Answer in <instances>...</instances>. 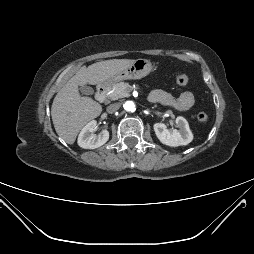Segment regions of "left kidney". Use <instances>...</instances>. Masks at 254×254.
<instances>
[{
  "label": "left kidney",
  "mask_w": 254,
  "mask_h": 254,
  "mask_svg": "<svg viewBox=\"0 0 254 254\" xmlns=\"http://www.w3.org/2000/svg\"><path fill=\"white\" fill-rule=\"evenodd\" d=\"M175 122L179 130L174 129L170 131L165 124L155 123L153 128L157 138L163 144L171 147L189 144L193 140V134L187 120L182 116H178Z\"/></svg>",
  "instance_id": "5707ae66"
}]
</instances>
